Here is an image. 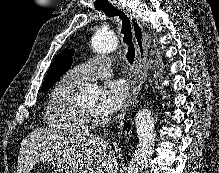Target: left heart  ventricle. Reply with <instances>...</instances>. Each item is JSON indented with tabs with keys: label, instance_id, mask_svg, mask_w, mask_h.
I'll use <instances>...</instances> for the list:
<instances>
[{
	"label": "left heart ventricle",
	"instance_id": "obj_1",
	"mask_svg": "<svg viewBox=\"0 0 219 173\" xmlns=\"http://www.w3.org/2000/svg\"><path fill=\"white\" fill-rule=\"evenodd\" d=\"M83 109H85L88 112L94 113L96 110V99L83 101L80 104Z\"/></svg>",
	"mask_w": 219,
	"mask_h": 173
}]
</instances>
